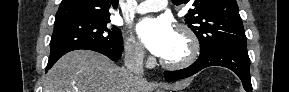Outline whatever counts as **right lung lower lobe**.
Returning a JSON list of instances; mask_svg holds the SVG:
<instances>
[{
  "label": "right lung lower lobe",
  "mask_w": 289,
  "mask_h": 92,
  "mask_svg": "<svg viewBox=\"0 0 289 92\" xmlns=\"http://www.w3.org/2000/svg\"><path fill=\"white\" fill-rule=\"evenodd\" d=\"M77 49H87V50H92V51H96L99 52L101 54L106 55L107 57H109L111 60L116 61L118 60L121 55H122V51H123V46L122 44L120 46L117 47H110V46H105V45H84V46H80L78 48L75 49H70V50H66L64 52H61L53 57H49V61L48 64L46 66V72L55 64V62L61 58L64 54H66L67 52L73 51V50H77Z\"/></svg>",
  "instance_id": "1"
}]
</instances>
